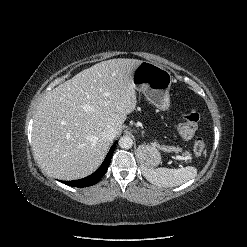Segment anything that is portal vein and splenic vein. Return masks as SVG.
<instances>
[{"label": "portal vein and splenic vein", "mask_w": 247, "mask_h": 247, "mask_svg": "<svg viewBox=\"0 0 247 247\" xmlns=\"http://www.w3.org/2000/svg\"><path fill=\"white\" fill-rule=\"evenodd\" d=\"M176 159L177 160H179V161H184V160H186V158L185 157H183V156H176Z\"/></svg>", "instance_id": "18ae733b"}]
</instances>
